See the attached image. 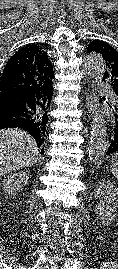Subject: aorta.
Instances as JSON below:
<instances>
[{
  "instance_id": "762f6f07",
  "label": "aorta",
  "mask_w": 118,
  "mask_h": 269,
  "mask_svg": "<svg viewBox=\"0 0 118 269\" xmlns=\"http://www.w3.org/2000/svg\"><path fill=\"white\" fill-rule=\"evenodd\" d=\"M85 68L89 76L96 81L101 80L105 71V61L103 57L98 54L88 55L85 59ZM108 144L103 117L97 115L92 125L88 160L93 163H100L106 154Z\"/></svg>"
}]
</instances>
